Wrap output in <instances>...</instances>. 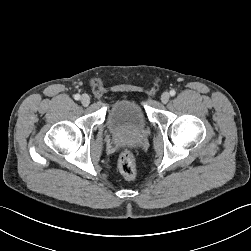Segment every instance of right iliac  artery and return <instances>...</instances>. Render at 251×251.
<instances>
[{
  "instance_id": "obj_1",
  "label": "right iliac artery",
  "mask_w": 251,
  "mask_h": 251,
  "mask_svg": "<svg viewBox=\"0 0 251 251\" xmlns=\"http://www.w3.org/2000/svg\"><path fill=\"white\" fill-rule=\"evenodd\" d=\"M74 99H75V100H79V99H80V95H79V94H75V95H74Z\"/></svg>"
}]
</instances>
